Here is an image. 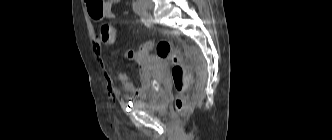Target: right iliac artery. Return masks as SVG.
I'll return each instance as SVG.
<instances>
[{
    "label": "right iliac artery",
    "mask_w": 332,
    "mask_h": 140,
    "mask_svg": "<svg viewBox=\"0 0 332 140\" xmlns=\"http://www.w3.org/2000/svg\"><path fill=\"white\" fill-rule=\"evenodd\" d=\"M132 8L134 10V12L140 16H144L145 15V9L144 7L138 2H133L132 4Z\"/></svg>",
    "instance_id": "1"
}]
</instances>
